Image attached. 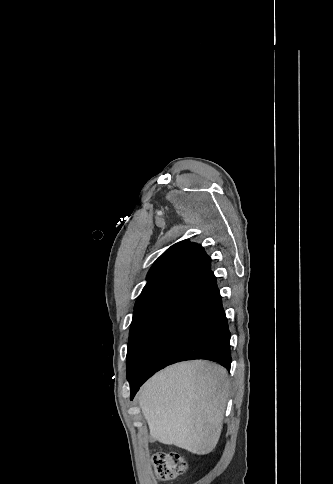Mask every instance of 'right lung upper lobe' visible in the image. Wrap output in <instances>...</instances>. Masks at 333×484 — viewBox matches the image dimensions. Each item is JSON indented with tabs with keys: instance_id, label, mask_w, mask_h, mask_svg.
Returning a JSON list of instances; mask_svg holds the SVG:
<instances>
[{
	"instance_id": "right-lung-upper-lobe-1",
	"label": "right lung upper lobe",
	"mask_w": 333,
	"mask_h": 484,
	"mask_svg": "<svg viewBox=\"0 0 333 484\" xmlns=\"http://www.w3.org/2000/svg\"><path fill=\"white\" fill-rule=\"evenodd\" d=\"M210 270V258L204 249L184 240L172 245L152 265L147 284L135 308L147 302L164 299Z\"/></svg>"
}]
</instances>
